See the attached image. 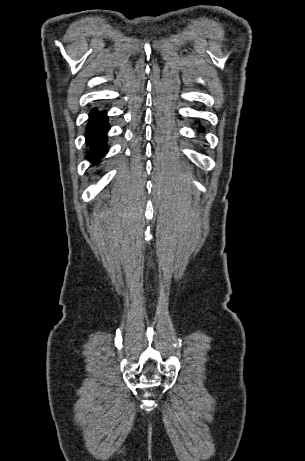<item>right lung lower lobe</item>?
<instances>
[{
	"label": "right lung lower lobe",
	"instance_id": "1",
	"mask_svg": "<svg viewBox=\"0 0 305 461\" xmlns=\"http://www.w3.org/2000/svg\"><path fill=\"white\" fill-rule=\"evenodd\" d=\"M89 116L88 129L85 134L86 143L90 149L87 151V158L95 164L99 163L100 157L107 152V139L105 134L110 126L106 121L107 115L105 111H98L97 108H93Z\"/></svg>",
	"mask_w": 305,
	"mask_h": 461
}]
</instances>
